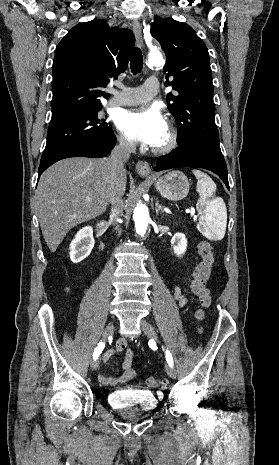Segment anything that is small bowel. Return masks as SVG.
<instances>
[{
	"label": "small bowel",
	"instance_id": "c3829d8e",
	"mask_svg": "<svg viewBox=\"0 0 279 465\" xmlns=\"http://www.w3.org/2000/svg\"><path fill=\"white\" fill-rule=\"evenodd\" d=\"M175 295L179 302L180 306H184L188 299L185 295L181 294L179 288H175ZM124 352V359L122 361V368L124 372L119 377H109L104 373L99 375V380L103 385L106 386H116L119 384H125L132 381L135 376L136 372L132 368L133 359L135 357V353L131 347L128 346V343L125 339H119L116 341L115 346L113 349L108 350L103 355L104 362H107L113 355L117 353Z\"/></svg>",
	"mask_w": 279,
	"mask_h": 465
}]
</instances>
